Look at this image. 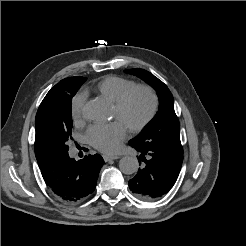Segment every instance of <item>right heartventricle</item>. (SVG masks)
<instances>
[{
	"label": "right heart ventricle",
	"instance_id": "obj_1",
	"mask_svg": "<svg viewBox=\"0 0 246 246\" xmlns=\"http://www.w3.org/2000/svg\"><path fill=\"white\" fill-rule=\"evenodd\" d=\"M135 86H137V83L133 80L111 75L101 79L96 85V90L103 97L115 103L126 92Z\"/></svg>",
	"mask_w": 246,
	"mask_h": 246
}]
</instances>
